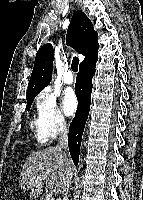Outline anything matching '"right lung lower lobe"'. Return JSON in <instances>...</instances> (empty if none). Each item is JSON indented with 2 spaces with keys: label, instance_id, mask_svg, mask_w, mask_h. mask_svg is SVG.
<instances>
[{
  "label": "right lung lower lobe",
  "instance_id": "1",
  "mask_svg": "<svg viewBox=\"0 0 143 200\" xmlns=\"http://www.w3.org/2000/svg\"><path fill=\"white\" fill-rule=\"evenodd\" d=\"M97 60L98 56L95 54L82 62L76 78L75 92L78 99V108L68 134L69 151L75 165L78 164L82 134L90 110L92 78L95 74Z\"/></svg>",
  "mask_w": 143,
  "mask_h": 200
}]
</instances>
